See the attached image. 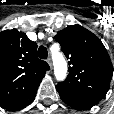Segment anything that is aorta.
Here are the masks:
<instances>
[{
  "instance_id": "obj_1",
  "label": "aorta",
  "mask_w": 114,
  "mask_h": 114,
  "mask_svg": "<svg viewBox=\"0 0 114 114\" xmlns=\"http://www.w3.org/2000/svg\"><path fill=\"white\" fill-rule=\"evenodd\" d=\"M54 74L58 81H63L67 74V63L62 54L55 53L53 55Z\"/></svg>"
}]
</instances>
